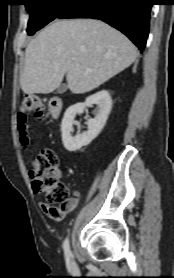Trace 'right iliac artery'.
Returning <instances> with one entry per match:
<instances>
[{
    "mask_svg": "<svg viewBox=\"0 0 174 278\" xmlns=\"http://www.w3.org/2000/svg\"><path fill=\"white\" fill-rule=\"evenodd\" d=\"M63 249H64V254H65V257L66 259H70V257H72V253H71V250H70V245H69V239L66 238L64 243H63Z\"/></svg>",
    "mask_w": 174,
    "mask_h": 278,
    "instance_id": "82829eb1",
    "label": "right iliac artery"
}]
</instances>
